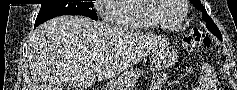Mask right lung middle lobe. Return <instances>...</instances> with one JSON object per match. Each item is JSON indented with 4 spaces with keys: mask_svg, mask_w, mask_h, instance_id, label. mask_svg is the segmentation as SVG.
I'll return each instance as SVG.
<instances>
[{
    "mask_svg": "<svg viewBox=\"0 0 237 90\" xmlns=\"http://www.w3.org/2000/svg\"><path fill=\"white\" fill-rule=\"evenodd\" d=\"M93 7V2L42 4L35 21V26L37 27L43 22L61 15H82L98 20Z\"/></svg>",
    "mask_w": 237,
    "mask_h": 90,
    "instance_id": "right-lung-middle-lobe-1",
    "label": "right lung middle lobe"
}]
</instances>
